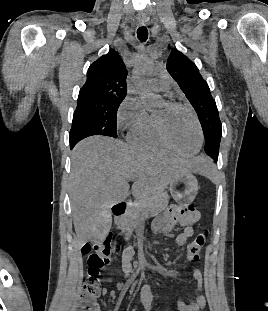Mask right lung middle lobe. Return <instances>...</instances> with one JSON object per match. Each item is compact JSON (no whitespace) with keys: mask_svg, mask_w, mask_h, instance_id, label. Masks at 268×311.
Wrapping results in <instances>:
<instances>
[{"mask_svg":"<svg viewBox=\"0 0 268 311\" xmlns=\"http://www.w3.org/2000/svg\"><path fill=\"white\" fill-rule=\"evenodd\" d=\"M123 100L78 96L69 138L104 135L117 138L116 117Z\"/></svg>","mask_w":268,"mask_h":311,"instance_id":"right-lung-middle-lobe-1","label":"right lung middle lobe"}]
</instances>
